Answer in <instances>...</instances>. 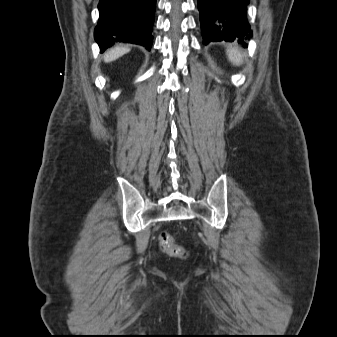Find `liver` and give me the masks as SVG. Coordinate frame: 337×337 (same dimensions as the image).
Returning a JSON list of instances; mask_svg holds the SVG:
<instances>
[{
  "instance_id": "obj_1",
  "label": "liver",
  "mask_w": 337,
  "mask_h": 337,
  "mask_svg": "<svg viewBox=\"0 0 337 337\" xmlns=\"http://www.w3.org/2000/svg\"><path fill=\"white\" fill-rule=\"evenodd\" d=\"M130 51L129 47L122 45L111 48L104 56L105 62H112Z\"/></svg>"
}]
</instances>
